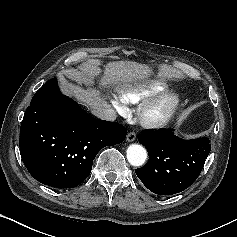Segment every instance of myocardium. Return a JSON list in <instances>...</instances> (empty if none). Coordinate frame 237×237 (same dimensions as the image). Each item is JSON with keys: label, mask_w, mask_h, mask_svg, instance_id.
<instances>
[{"label": "myocardium", "mask_w": 237, "mask_h": 237, "mask_svg": "<svg viewBox=\"0 0 237 237\" xmlns=\"http://www.w3.org/2000/svg\"><path fill=\"white\" fill-rule=\"evenodd\" d=\"M179 98L167 94L141 107L138 118L147 128H161L169 123L179 107Z\"/></svg>", "instance_id": "1"}]
</instances>
